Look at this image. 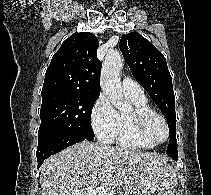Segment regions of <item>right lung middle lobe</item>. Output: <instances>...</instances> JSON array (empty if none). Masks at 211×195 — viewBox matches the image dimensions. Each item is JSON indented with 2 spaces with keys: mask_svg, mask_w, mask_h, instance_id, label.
Returning <instances> with one entry per match:
<instances>
[{
  "mask_svg": "<svg viewBox=\"0 0 211 195\" xmlns=\"http://www.w3.org/2000/svg\"><path fill=\"white\" fill-rule=\"evenodd\" d=\"M38 140L58 133H78L94 140L91 113L98 96L68 91L41 93Z\"/></svg>",
  "mask_w": 211,
  "mask_h": 195,
  "instance_id": "obj_1",
  "label": "right lung middle lobe"
}]
</instances>
